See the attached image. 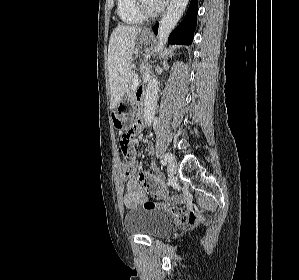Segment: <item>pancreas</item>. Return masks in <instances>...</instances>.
Masks as SVG:
<instances>
[{"label":"pancreas","instance_id":"cf45deb5","mask_svg":"<svg viewBox=\"0 0 299 280\" xmlns=\"http://www.w3.org/2000/svg\"><path fill=\"white\" fill-rule=\"evenodd\" d=\"M133 79H134V77L132 75L131 80H130V84H129V89H128L129 94H132V92H133V88H132Z\"/></svg>","mask_w":299,"mask_h":280}]
</instances>
